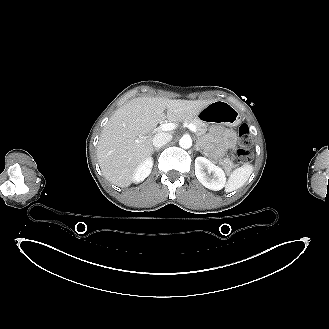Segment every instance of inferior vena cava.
<instances>
[{"label": "inferior vena cava", "mask_w": 329, "mask_h": 329, "mask_svg": "<svg viewBox=\"0 0 329 329\" xmlns=\"http://www.w3.org/2000/svg\"><path fill=\"white\" fill-rule=\"evenodd\" d=\"M172 140V135L166 132L157 133L153 138V145L160 148Z\"/></svg>", "instance_id": "inferior-vena-cava-1"}]
</instances>
